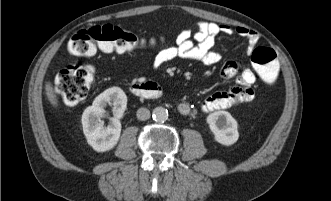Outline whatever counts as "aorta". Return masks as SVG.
<instances>
[{
    "label": "aorta",
    "instance_id": "762f6f07",
    "mask_svg": "<svg viewBox=\"0 0 331 201\" xmlns=\"http://www.w3.org/2000/svg\"><path fill=\"white\" fill-rule=\"evenodd\" d=\"M152 118L156 122H164L168 119V111L164 107H156L152 112Z\"/></svg>",
    "mask_w": 331,
    "mask_h": 201
}]
</instances>
